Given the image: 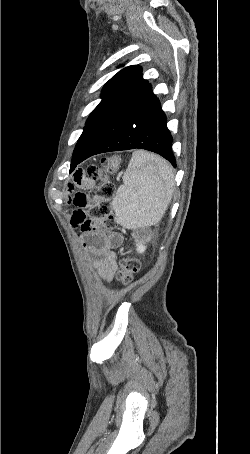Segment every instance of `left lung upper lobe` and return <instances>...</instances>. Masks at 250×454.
Returning <instances> with one entry per match:
<instances>
[{"mask_svg":"<svg viewBox=\"0 0 250 454\" xmlns=\"http://www.w3.org/2000/svg\"><path fill=\"white\" fill-rule=\"evenodd\" d=\"M148 85L142 78L141 67L128 66L114 75L102 89V101L87 119L84 131L73 152V157L81 155L102 123L136 93Z\"/></svg>","mask_w":250,"mask_h":454,"instance_id":"left-lung-upper-lobe-1","label":"left lung upper lobe"}]
</instances>
